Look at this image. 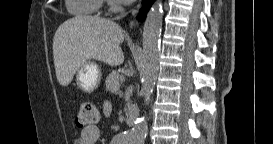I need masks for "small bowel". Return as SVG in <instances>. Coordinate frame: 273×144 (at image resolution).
Masks as SVG:
<instances>
[{"mask_svg":"<svg viewBox=\"0 0 273 144\" xmlns=\"http://www.w3.org/2000/svg\"><path fill=\"white\" fill-rule=\"evenodd\" d=\"M104 114L109 115L111 112L110 105L106 104L104 106ZM100 130L97 126L93 125L84 128L80 131L79 138L74 142L75 144H95L99 140Z\"/></svg>","mask_w":273,"mask_h":144,"instance_id":"obj_1","label":"small bowel"}]
</instances>
